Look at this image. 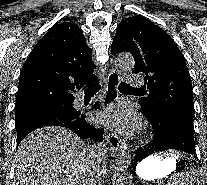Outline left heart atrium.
Returning a JSON list of instances; mask_svg holds the SVG:
<instances>
[{
  "label": "left heart atrium",
  "instance_id": "left-heart-atrium-1",
  "mask_svg": "<svg viewBox=\"0 0 207 185\" xmlns=\"http://www.w3.org/2000/svg\"><path fill=\"white\" fill-rule=\"evenodd\" d=\"M101 120L123 133H135L139 128L138 119L132 115L129 105L121 103L106 109Z\"/></svg>",
  "mask_w": 207,
  "mask_h": 185
}]
</instances>
